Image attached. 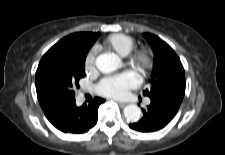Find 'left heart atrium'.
<instances>
[{
	"mask_svg": "<svg viewBox=\"0 0 225 155\" xmlns=\"http://www.w3.org/2000/svg\"><path fill=\"white\" fill-rule=\"evenodd\" d=\"M139 83L137 74L125 71L103 78L97 85V91L104 96L122 98L128 90L137 87Z\"/></svg>",
	"mask_w": 225,
	"mask_h": 155,
	"instance_id": "39dd6f15",
	"label": "left heart atrium"
}]
</instances>
